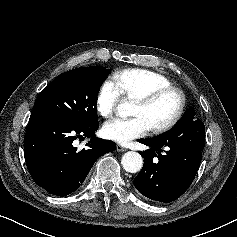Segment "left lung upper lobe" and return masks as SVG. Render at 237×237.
Masks as SVG:
<instances>
[{"mask_svg":"<svg viewBox=\"0 0 237 237\" xmlns=\"http://www.w3.org/2000/svg\"><path fill=\"white\" fill-rule=\"evenodd\" d=\"M194 116H195V111L194 110H189V111H186L185 113H184V115L182 116V118L179 120V122L174 126V128H176L177 126H179L183 121H185V120H187V119H189V118H194ZM173 128V129H174ZM172 130V129H171ZM170 130V131H171ZM169 132V131H168ZM167 133V132H166ZM165 134V133H164ZM161 135H163V134H161ZM160 135V136H161ZM157 137H159V136H157ZM157 137H155V138H157Z\"/></svg>","mask_w":237,"mask_h":237,"instance_id":"5c2ea615","label":"left lung upper lobe"}]
</instances>
